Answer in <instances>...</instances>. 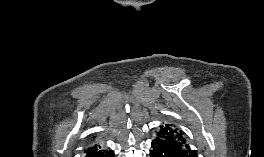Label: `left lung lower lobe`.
<instances>
[{
  "label": "left lung lower lobe",
  "mask_w": 264,
  "mask_h": 157,
  "mask_svg": "<svg viewBox=\"0 0 264 157\" xmlns=\"http://www.w3.org/2000/svg\"><path fill=\"white\" fill-rule=\"evenodd\" d=\"M150 157H185L172 143L154 139L151 143ZM197 157V156H196Z\"/></svg>",
  "instance_id": "left-lung-lower-lobe-1"
}]
</instances>
